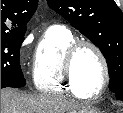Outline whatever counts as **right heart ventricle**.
<instances>
[{
    "mask_svg": "<svg viewBox=\"0 0 123 113\" xmlns=\"http://www.w3.org/2000/svg\"><path fill=\"white\" fill-rule=\"evenodd\" d=\"M76 41L74 34L65 27L52 26L40 39L33 63V83L43 93L69 92L82 95L70 87L63 71V62L68 48Z\"/></svg>",
    "mask_w": 123,
    "mask_h": 113,
    "instance_id": "obj_1",
    "label": "right heart ventricle"
}]
</instances>
